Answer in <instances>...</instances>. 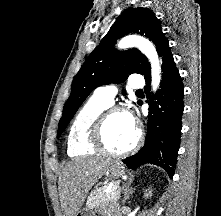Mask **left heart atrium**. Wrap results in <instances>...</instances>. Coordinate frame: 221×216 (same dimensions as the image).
I'll use <instances>...</instances> for the list:
<instances>
[{
  "label": "left heart atrium",
  "instance_id": "obj_1",
  "mask_svg": "<svg viewBox=\"0 0 221 216\" xmlns=\"http://www.w3.org/2000/svg\"><path fill=\"white\" fill-rule=\"evenodd\" d=\"M127 116H128V118H129V120L134 124V121H133L132 116H131L130 114H127Z\"/></svg>",
  "mask_w": 221,
  "mask_h": 216
}]
</instances>
